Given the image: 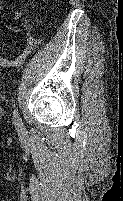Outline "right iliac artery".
Listing matches in <instances>:
<instances>
[{
  "label": "right iliac artery",
  "mask_w": 123,
  "mask_h": 201,
  "mask_svg": "<svg viewBox=\"0 0 123 201\" xmlns=\"http://www.w3.org/2000/svg\"><path fill=\"white\" fill-rule=\"evenodd\" d=\"M13 122H14V125H15L17 130L22 129L23 123H22V120L19 116L18 110H15L13 113Z\"/></svg>",
  "instance_id": "obj_1"
}]
</instances>
